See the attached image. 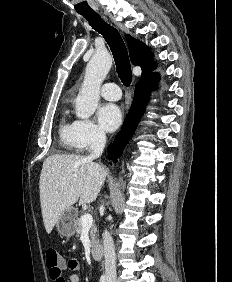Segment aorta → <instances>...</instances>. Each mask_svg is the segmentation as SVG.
<instances>
[{
    "instance_id": "aorta-1",
    "label": "aorta",
    "mask_w": 232,
    "mask_h": 282,
    "mask_svg": "<svg viewBox=\"0 0 232 282\" xmlns=\"http://www.w3.org/2000/svg\"><path fill=\"white\" fill-rule=\"evenodd\" d=\"M112 65V59L106 50H98L88 62L84 81L75 101L76 116L88 119L95 112L100 87Z\"/></svg>"
}]
</instances>
